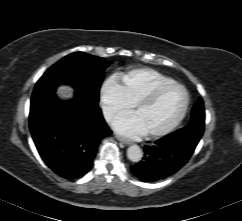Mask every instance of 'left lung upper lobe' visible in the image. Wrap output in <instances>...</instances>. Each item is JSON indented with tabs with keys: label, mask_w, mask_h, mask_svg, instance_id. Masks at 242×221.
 I'll list each match as a JSON object with an SVG mask.
<instances>
[{
	"label": "left lung upper lobe",
	"mask_w": 242,
	"mask_h": 221,
	"mask_svg": "<svg viewBox=\"0 0 242 221\" xmlns=\"http://www.w3.org/2000/svg\"><path fill=\"white\" fill-rule=\"evenodd\" d=\"M204 124H205L204 103L202 99H199L195 103L192 109L190 122L184 129L192 128L203 133Z\"/></svg>",
	"instance_id": "5c2ea615"
}]
</instances>
